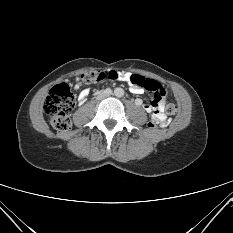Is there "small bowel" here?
Wrapping results in <instances>:
<instances>
[{
  "label": "small bowel",
  "mask_w": 233,
  "mask_h": 233,
  "mask_svg": "<svg viewBox=\"0 0 233 233\" xmlns=\"http://www.w3.org/2000/svg\"><path fill=\"white\" fill-rule=\"evenodd\" d=\"M132 74L126 73V72H117L114 70H108L100 74V79L101 80H106V79H113V80H120L129 83L130 86V91L133 94H142L143 89L134 87L130 84V77ZM75 88H80V85H76ZM89 91L87 89H83L80 91L78 95V102L79 104H83L87 97H88ZM137 104H142V101L140 99H137ZM143 108L146 112L150 113L151 116L153 117L155 114L158 115L162 121L161 126L164 127L168 124L169 120L166 114L164 113V108H165V99L161 100L159 103L154 104L152 103H146L143 104Z\"/></svg>",
  "instance_id": "small-bowel-1"
}]
</instances>
